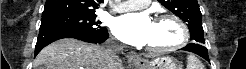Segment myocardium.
I'll return each mask as SVG.
<instances>
[{
  "instance_id": "obj_1",
  "label": "myocardium",
  "mask_w": 246,
  "mask_h": 69,
  "mask_svg": "<svg viewBox=\"0 0 246 69\" xmlns=\"http://www.w3.org/2000/svg\"><path fill=\"white\" fill-rule=\"evenodd\" d=\"M163 20L171 21L176 25V27L179 29L180 32L179 39L174 44L169 46L155 47V46L147 45V48L157 52H164V51L177 50L185 46L189 40V31L185 23L177 16L168 13L160 14L154 18V21H163Z\"/></svg>"
}]
</instances>
